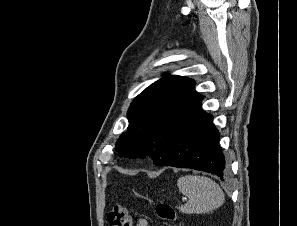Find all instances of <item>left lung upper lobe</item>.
Masks as SVG:
<instances>
[{
    "label": "left lung upper lobe",
    "instance_id": "1",
    "mask_svg": "<svg viewBox=\"0 0 297 226\" xmlns=\"http://www.w3.org/2000/svg\"><path fill=\"white\" fill-rule=\"evenodd\" d=\"M194 85L190 78L168 75L141 92L128 109L127 131L115 145L120 156L135 158L147 154L156 164L203 98Z\"/></svg>",
    "mask_w": 297,
    "mask_h": 226
}]
</instances>
